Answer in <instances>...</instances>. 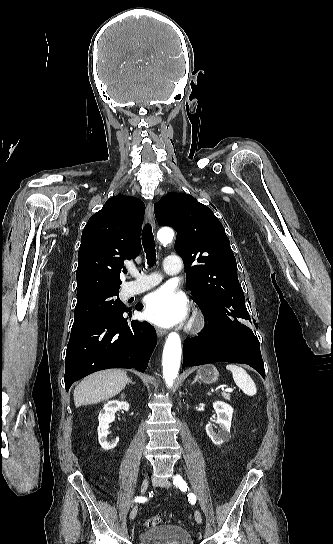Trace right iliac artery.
<instances>
[{
  "mask_svg": "<svg viewBox=\"0 0 333 544\" xmlns=\"http://www.w3.org/2000/svg\"><path fill=\"white\" fill-rule=\"evenodd\" d=\"M134 501H135V502H144V501H146V498H145V497L139 496V497H136V498L134 499Z\"/></svg>",
  "mask_w": 333,
  "mask_h": 544,
  "instance_id": "1",
  "label": "right iliac artery"
}]
</instances>
